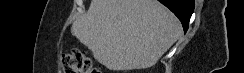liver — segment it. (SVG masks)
<instances>
[{"instance_id":"obj_1","label":"liver","mask_w":244,"mask_h":73,"mask_svg":"<svg viewBox=\"0 0 244 73\" xmlns=\"http://www.w3.org/2000/svg\"><path fill=\"white\" fill-rule=\"evenodd\" d=\"M72 34L110 70L153 66L178 40L182 26L157 0H92Z\"/></svg>"}]
</instances>
